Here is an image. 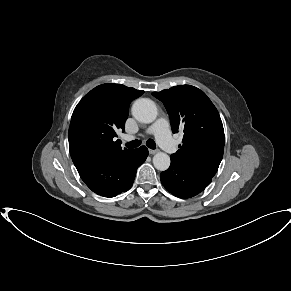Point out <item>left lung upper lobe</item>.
Returning a JSON list of instances; mask_svg holds the SVG:
<instances>
[{
  "mask_svg": "<svg viewBox=\"0 0 291 291\" xmlns=\"http://www.w3.org/2000/svg\"><path fill=\"white\" fill-rule=\"evenodd\" d=\"M152 95L164 103L173 133H184L183 144L171 160L193 173L213 178L223 157L225 138L220 115L211 100L191 85Z\"/></svg>",
  "mask_w": 291,
  "mask_h": 291,
  "instance_id": "obj_1",
  "label": "left lung upper lobe"
}]
</instances>
